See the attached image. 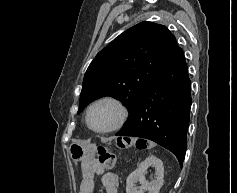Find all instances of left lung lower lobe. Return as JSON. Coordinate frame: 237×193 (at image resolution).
I'll return each instance as SVG.
<instances>
[{
	"mask_svg": "<svg viewBox=\"0 0 237 193\" xmlns=\"http://www.w3.org/2000/svg\"><path fill=\"white\" fill-rule=\"evenodd\" d=\"M191 102L187 64L179 48L146 90L133 119L116 135L152 140L175 154L182 166Z\"/></svg>",
	"mask_w": 237,
	"mask_h": 193,
	"instance_id": "0a47b994",
	"label": "left lung lower lobe"
}]
</instances>
